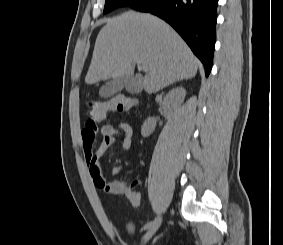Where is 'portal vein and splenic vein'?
<instances>
[{
    "mask_svg": "<svg viewBox=\"0 0 283 245\" xmlns=\"http://www.w3.org/2000/svg\"><path fill=\"white\" fill-rule=\"evenodd\" d=\"M140 67H141L142 69H145V68H146L145 65H142V64L140 65Z\"/></svg>",
    "mask_w": 283,
    "mask_h": 245,
    "instance_id": "18ae733b",
    "label": "portal vein and splenic vein"
}]
</instances>
